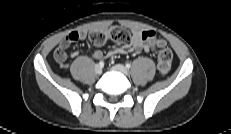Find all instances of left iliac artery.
<instances>
[{
	"label": "left iliac artery",
	"mask_w": 231,
	"mask_h": 134,
	"mask_svg": "<svg viewBox=\"0 0 231 134\" xmlns=\"http://www.w3.org/2000/svg\"><path fill=\"white\" fill-rule=\"evenodd\" d=\"M130 67H131V64L127 63V64H126V68L129 69Z\"/></svg>",
	"instance_id": "left-iliac-artery-1"
}]
</instances>
